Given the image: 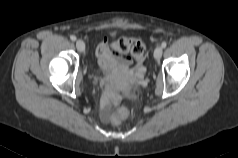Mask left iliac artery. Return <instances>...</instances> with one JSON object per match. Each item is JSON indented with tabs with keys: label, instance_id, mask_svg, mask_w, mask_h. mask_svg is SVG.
Instances as JSON below:
<instances>
[{
	"label": "left iliac artery",
	"instance_id": "obj_1",
	"mask_svg": "<svg viewBox=\"0 0 238 158\" xmlns=\"http://www.w3.org/2000/svg\"><path fill=\"white\" fill-rule=\"evenodd\" d=\"M161 46H162V48H165L167 46V43L165 41H163Z\"/></svg>",
	"mask_w": 238,
	"mask_h": 158
}]
</instances>
